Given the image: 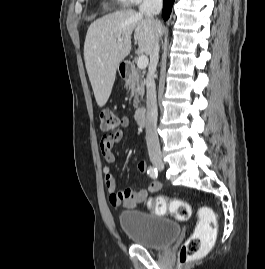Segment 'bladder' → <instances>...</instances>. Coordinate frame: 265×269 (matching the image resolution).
I'll list each match as a JSON object with an SVG mask.
<instances>
[{"label": "bladder", "mask_w": 265, "mask_h": 269, "mask_svg": "<svg viewBox=\"0 0 265 269\" xmlns=\"http://www.w3.org/2000/svg\"><path fill=\"white\" fill-rule=\"evenodd\" d=\"M118 222L133 243L152 250L167 248L180 233L176 222L140 210L122 211Z\"/></svg>", "instance_id": "1"}]
</instances>
